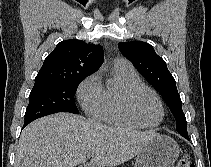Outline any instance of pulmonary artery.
I'll return each mask as SVG.
<instances>
[{"mask_svg": "<svg viewBox=\"0 0 211 167\" xmlns=\"http://www.w3.org/2000/svg\"><path fill=\"white\" fill-rule=\"evenodd\" d=\"M114 68H118V69H133V66L126 59H116L114 61Z\"/></svg>", "mask_w": 211, "mask_h": 167, "instance_id": "e3ab8cb5", "label": "pulmonary artery"}]
</instances>
